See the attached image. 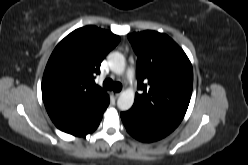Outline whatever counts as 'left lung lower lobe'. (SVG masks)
Masks as SVG:
<instances>
[{"label":"left lung lower lobe","instance_id":"left-lung-lower-lobe-1","mask_svg":"<svg viewBox=\"0 0 248 165\" xmlns=\"http://www.w3.org/2000/svg\"><path fill=\"white\" fill-rule=\"evenodd\" d=\"M127 132L139 141L153 142L170 134L177 126L130 109L121 113Z\"/></svg>","mask_w":248,"mask_h":165}]
</instances>
